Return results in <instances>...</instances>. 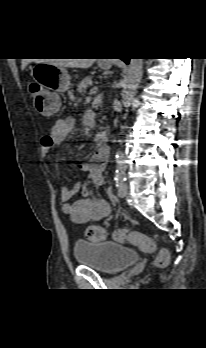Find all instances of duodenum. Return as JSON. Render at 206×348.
Here are the masks:
<instances>
[{"instance_id": "obj_1", "label": "duodenum", "mask_w": 206, "mask_h": 348, "mask_svg": "<svg viewBox=\"0 0 206 348\" xmlns=\"http://www.w3.org/2000/svg\"><path fill=\"white\" fill-rule=\"evenodd\" d=\"M110 137V133L107 130H103V131H99L96 135H95V140L96 142L105 144Z\"/></svg>"}]
</instances>
